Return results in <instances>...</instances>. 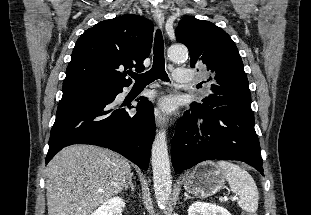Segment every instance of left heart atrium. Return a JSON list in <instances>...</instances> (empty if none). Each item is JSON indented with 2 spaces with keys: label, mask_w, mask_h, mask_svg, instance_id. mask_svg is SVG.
<instances>
[{
  "label": "left heart atrium",
  "mask_w": 311,
  "mask_h": 215,
  "mask_svg": "<svg viewBox=\"0 0 311 215\" xmlns=\"http://www.w3.org/2000/svg\"><path fill=\"white\" fill-rule=\"evenodd\" d=\"M159 108H160V110L168 113V112H171L173 110L174 106L170 100L164 99L159 103Z\"/></svg>",
  "instance_id": "obj_1"
}]
</instances>
